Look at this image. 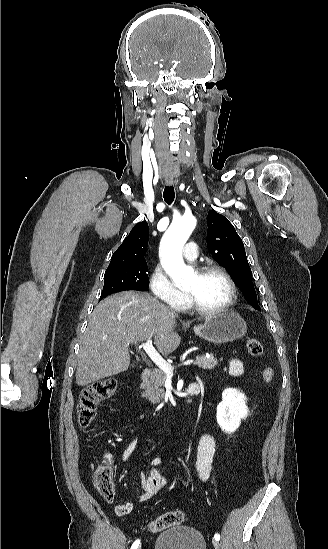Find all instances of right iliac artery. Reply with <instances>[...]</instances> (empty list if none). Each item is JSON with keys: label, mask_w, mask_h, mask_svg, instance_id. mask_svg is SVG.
I'll return each instance as SVG.
<instances>
[{"label": "right iliac artery", "mask_w": 328, "mask_h": 549, "mask_svg": "<svg viewBox=\"0 0 328 549\" xmlns=\"http://www.w3.org/2000/svg\"><path fill=\"white\" fill-rule=\"evenodd\" d=\"M139 544H140V540L138 539L133 543V545L131 546V549H137Z\"/></svg>", "instance_id": "right-iliac-artery-1"}]
</instances>
